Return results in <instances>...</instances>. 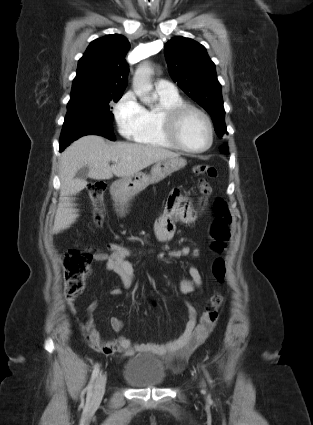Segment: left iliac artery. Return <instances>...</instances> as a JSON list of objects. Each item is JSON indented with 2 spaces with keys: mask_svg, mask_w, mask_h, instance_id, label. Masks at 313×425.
<instances>
[{
  "mask_svg": "<svg viewBox=\"0 0 313 425\" xmlns=\"http://www.w3.org/2000/svg\"><path fill=\"white\" fill-rule=\"evenodd\" d=\"M205 375L207 376L209 382L211 383V379L209 378V374L207 373V371H205Z\"/></svg>",
  "mask_w": 313,
  "mask_h": 425,
  "instance_id": "1",
  "label": "left iliac artery"
}]
</instances>
